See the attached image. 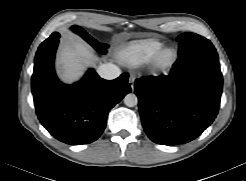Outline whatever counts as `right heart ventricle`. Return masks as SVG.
<instances>
[{"instance_id": "right-heart-ventricle-1", "label": "right heart ventricle", "mask_w": 246, "mask_h": 181, "mask_svg": "<svg viewBox=\"0 0 246 181\" xmlns=\"http://www.w3.org/2000/svg\"><path fill=\"white\" fill-rule=\"evenodd\" d=\"M162 47L163 42L158 39H143L123 47L118 57L127 65L138 66L148 62Z\"/></svg>"}]
</instances>
